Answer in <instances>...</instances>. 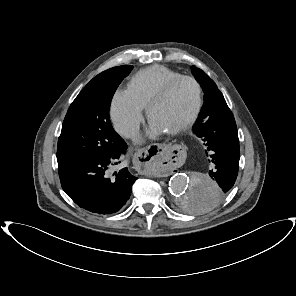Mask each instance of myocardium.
Returning <instances> with one entry per match:
<instances>
[{
  "instance_id": "myocardium-1",
  "label": "myocardium",
  "mask_w": 296,
  "mask_h": 296,
  "mask_svg": "<svg viewBox=\"0 0 296 296\" xmlns=\"http://www.w3.org/2000/svg\"><path fill=\"white\" fill-rule=\"evenodd\" d=\"M184 81H188L191 82L197 91V102L195 105V108L192 112V114L190 115V117L183 122L181 125L177 126L176 128L172 129L171 131L167 132L168 135H176L179 134L181 132L186 131L187 129H189L191 126L194 125V123L197 121L202 107H203V102H204V93H203V88L202 85L200 84V82L191 76H180L174 80H172L171 82H169L158 94H156L148 103L147 107H146V114H147V118L150 120L151 119V113L152 110L154 109V107H156L157 105L161 104L162 102H164L169 96L170 94L173 92V90L182 82Z\"/></svg>"
}]
</instances>
